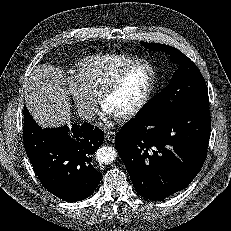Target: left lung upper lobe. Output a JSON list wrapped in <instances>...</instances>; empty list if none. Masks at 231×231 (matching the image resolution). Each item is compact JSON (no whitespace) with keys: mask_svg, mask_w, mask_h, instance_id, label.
<instances>
[{"mask_svg":"<svg viewBox=\"0 0 231 231\" xmlns=\"http://www.w3.org/2000/svg\"><path fill=\"white\" fill-rule=\"evenodd\" d=\"M152 51L170 55L178 64L170 83L142 109L136 118L157 119L182 108L209 104L208 90L198 67L178 49L159 43L141 42Z\"/></svg>","mask_w":231,"mask_h":231,"instance_id":"1","label":"left lung upper lobe"}]
</instances>
